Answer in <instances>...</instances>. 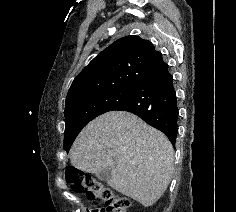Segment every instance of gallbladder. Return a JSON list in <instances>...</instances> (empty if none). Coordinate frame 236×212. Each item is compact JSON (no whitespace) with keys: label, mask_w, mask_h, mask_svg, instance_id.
Instances as JSON below:
<instances>
[{"label":"gallbladder","mask_w":236,"mask_h":212,"mask_svg":"<svg viewBox=\"0 0 236 212\" xmlns=\"http://www.w3.org/2000/svg\"><path fill=\"white\" fill-rule=\"evenodd\" d=\"M96 177L101 181H108L111 179V170L109 168L104 169L96 173Z\"/></svg>","instance_id":"gallbladder-1"}]
</instances>
